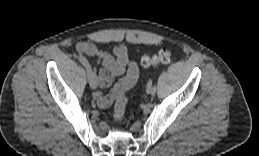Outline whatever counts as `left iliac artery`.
<instances>
[{
    "instance_id": "44dca946",
    "label": "left iliac artery",
    "mask_w": 259,
    "mask_h": 156,
    "mask_svg": "<svg viewBox=\"0 0 259 156\" xmlns=\"http://www.w3.org/2000/svg\"><path fill=\"white\" fill-rule=\"evenodd\" d=\"M152 94H154V95H157V94H158V91H157L155 85H152Z\"/></svg>"
}]
</instances>
